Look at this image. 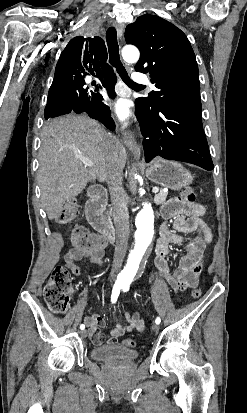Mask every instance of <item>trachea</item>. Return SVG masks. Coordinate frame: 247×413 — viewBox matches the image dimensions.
I'll use <instances>...</instances> for the list:
<instances>
[{"label":"trachea","mask_w":247,"mask_h":413,"mask_svg":"<svg viewBox=\"0 0 247 413\" xmlns=\"http://www.w3.org/2000/svg\"><path fill=\"white\" fill-rule=\"evenodd\" d=\"M106 41L109 49L110 63L113 67L116 68L123 82H125L126 85H128L133 90H143L145 88L144 85H139L138 83L133 82V80H131V78L128 76V73L123 67V64L121 63L119 57V46L117 43V32L115 28L110 27L108 29L106 33Z\"/></svg>","instance_id":"1"}]
</instances>
